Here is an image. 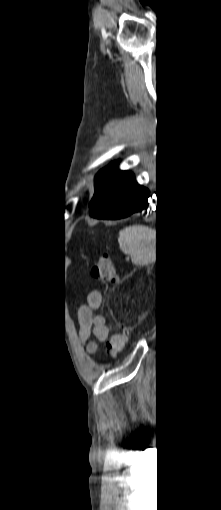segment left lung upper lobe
<instances>
[{"label": "left lung upper lobe", "instance_id": "left-lung-upper-lobe-1", "mask_svg": "<svg viewBox=\"0 0 221 510\" xmlns=\"http://www.w3.org/2000/svg\"><path fill=\"white\" fill-rule=\"evenodd\" d=\"M133 180L134 174L129 171H120L118 162H113L102 169L94 180L95 190L90 202V210L94 211L107 205Z\"/></svg>", "mask_w": 221, "mask_h": 510}]
</instances>
